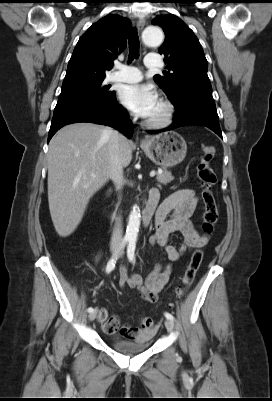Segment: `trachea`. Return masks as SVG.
Returning a JSON list of instances; mask_svg holds the SVG:
<instances>
[{"mask_svg": "<svg viewBox=\"0 0 272 401\" xmlns=\"http://www.w3.org/2000/svg\"><path fill=\"white\" fill-rule=\"evenodd\" d=\"M129 44V61L139 57V36L135 28H133L128 35Z\"/></svg>", "mask_w": 272, "mask_h": 401, "instance_id": "1", "label": "trachea"}]
</instances>
